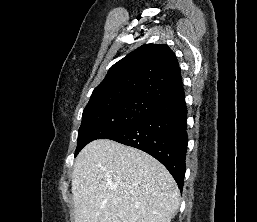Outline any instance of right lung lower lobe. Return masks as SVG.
Here are the masks:
<instances>
[{"label": "right lung lower lobe", "instance_id": "right-lung-lower-lobe-1", "mask_svg": "<svg viewBox=\"0 0 257 222\" xmlns=\"http://www.w3.org/2000/svg\"><path fill=\"white\" fill-rule=\"evenodd\" d=\"M184 95L159 105L147 116L108 139L140 149L160 161L183 188L188 136Z\"/></svg>", "mask_w": 257, "mask_h": 222}]
</instances>
